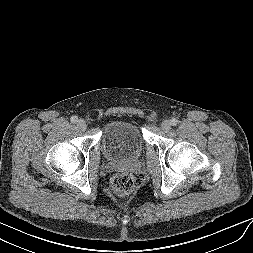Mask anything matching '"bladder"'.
<instances>
[{
    "label": "bladder",
    "instance_id": "31cf9c89",
    "mask_svg": "<svg viewBox=\"0 0 253 253\" xmlns=\"http://www.w3.org/2000/svg\"><path fill=\"white\" fill-rule=\"evenodd\" d=\"M144 143L141 127L130 120H112L102 133V151L114 162L136 160L143 151Z\"/></svg>",
    "mask_w": 253,
    "mask_h": 253
}]
</instances>
